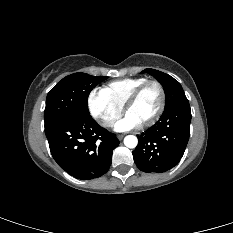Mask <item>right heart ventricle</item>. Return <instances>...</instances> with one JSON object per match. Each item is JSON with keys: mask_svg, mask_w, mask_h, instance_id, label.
Returning <instances> with one entry per match:
<instances>
[{"mask_svg": "<svg viewBox=\"0 0 233 233\" xmlns=\"http://www.w3.org/2000/svg\"><path fill=\"white\" fill-rule=\"evenodd\" d=\"M148 81L146 78H125L108 83L102 91L119 106H124L130 94L141 84Z\"/></svg>", "mask_w": 233, "mask_h": 233, "instance_id": "right-heart-ventricle-1", "label": "right heart ventricle"}]
</instances>
